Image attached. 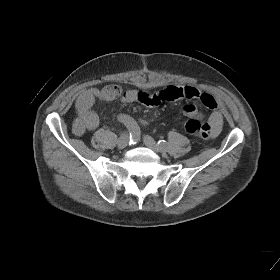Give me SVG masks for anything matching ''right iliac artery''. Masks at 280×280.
<instances>
[{
  "mask_svg": "<svg viewBox=\"0 0 280 280\" xmlns=\"http://www.w3.org/2000/svg\"><path fill=\"white\" fill-rule=\"evenodd\" d=\"M119 121L124 123L129 131L130 144H136L140 140L141 131L138 124L128 115H119Z\"/></svg>",
  "mask_w": 280,
  "mask_h": 280,
  "instance_id": "1",
  "label": "right iliac artery"
}]
</instances>
